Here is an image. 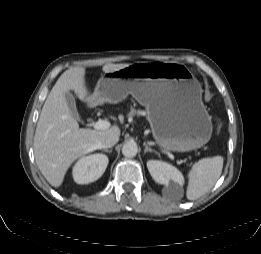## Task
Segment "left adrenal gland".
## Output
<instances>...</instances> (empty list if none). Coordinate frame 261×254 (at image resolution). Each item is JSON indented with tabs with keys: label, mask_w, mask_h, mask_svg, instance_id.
Wrapping results in <instances>:
<instances>
[{
	"label": "left adrenal gland",
	"mask_w": 261,
	"mask_h": 254,
	"mask_svg": "<svg viewBox=\"0 0 261 254\" xmlns=\"http://www.w3.org/2000/svg\"><path fill=\"white\" fill-rule=\"evenodd\" d=\"M143 145L145 147L144 153H147V152H154V153H156V151L152 150L151 148H149L146 143H144Z\"/></svg>",
	"instance_id": "a2214340"
}]
</instances>
